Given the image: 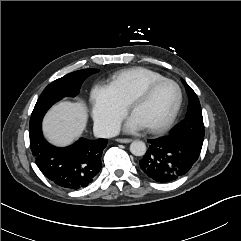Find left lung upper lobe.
<instances>
[{
  "label": "left lung upper lobe",
  "instance_id": "left-lung-upper-lobe-1",
  "mask_svg": "<svg viewBox=\"0 0 241 241\" xmlns=\"http://www.w3.org/2000/svg\"><path fill=\"white\" fill-rule=\"evenodd\" d=\"M189 97L185 120L170 132V136L180 137L198 152L204 139V124L200 102L193 89L182 80Z\"/></svg>",
  "mask_w": 241,
  "mask_h": 241
}]
</instances>
